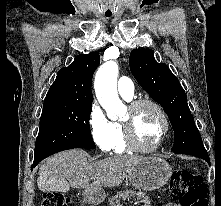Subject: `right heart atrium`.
I'll return each mask as SVG.
<instances>
[{
	"label": "right heart atrium",
	"mask_w": 221,
	"mask_h": 206,
	"mask_svg": "<svg viewBox=\"0 0 221 206\" xmlns=\"http://www.w3.org/2000/svg\"><path fill=\"white\" fill-rule=\"evenodd\" d=\"M88 123L95 145L102 152L110 151L114 139V125L96 101L91 106Z\"/></svg>",
	"instance_id": "obj_1"
}]
</instances>
